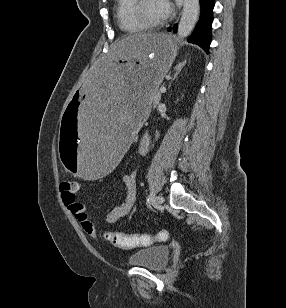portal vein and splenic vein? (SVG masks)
<instances>
[{
  "instance_id": "18ae733b",
  "label": "portal vein and splenic vein",
  "mask_w": 286,
  "mask_h": 308,
  "mask_svg": "<svg viewBox=\"0 0 286 308\" xmlns=\"http://www.w3.org/2000/svg\"><path fill=\"white\" fill-rule=\"evenodd\" d=\"M160 92H161V93H165V92H166V88H165V87H161V88H160Z\"/></svg>"
}]
</instances>
